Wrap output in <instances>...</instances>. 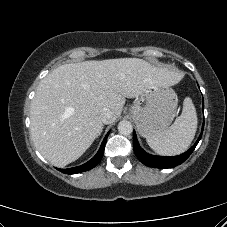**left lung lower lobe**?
<instances>
[{
	"mask_svg": "<svg viewBox=\"0 0 227 227\" xmlns=\"http://www.w3.org/2000/svg\"><path fill=\"white\" fill-rule=\"evenodd\" d=\"M203 108H204V105H203ZM203 128H204V123L202 126V132H203ZM202 132L198 140L196 141V143L188 151L178 156L164 157V156H154V155L148 154L140 147L135 132L133 135V149L137 158L146 166L159 168V169L172 168L183 163L191 155V153L194 151L196 145L201 139Z\"/></svg>",
	"mask_w": 227,
	"mask_h": 227,
	"instance_id": "0a47b994",
	"label": "left lung lower lobe"
}]
</instances>
